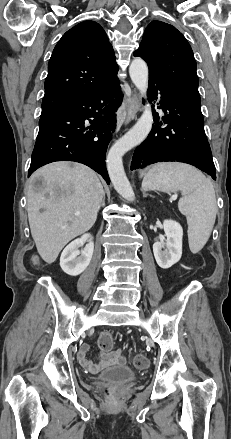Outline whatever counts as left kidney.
I'll return each instance as SVG.
<instances>
[{
	"instance_id": "left-kidney-1",
	"label": "left kidney",
	"mask_w": 231,
	"mask_h": 439,
	"mask_svg": "<svg viewBox=\"0 0 231 439\" xmlns=\"http://www.w3.org/2000/svg\"><path fill=\"white\" fill-rule=\"evenodd\" d=\"M163 228L166 240L155 242L153 253L157 264L163 269H168L181 259L183 228L173 220H164Z\"/></svg>"
}]
</instances>
